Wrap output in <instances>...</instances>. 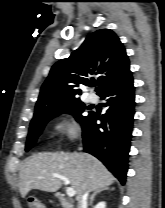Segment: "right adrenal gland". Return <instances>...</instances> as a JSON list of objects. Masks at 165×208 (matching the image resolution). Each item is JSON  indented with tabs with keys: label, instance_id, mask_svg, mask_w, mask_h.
Here are the masks:
<instances>
[{
	"label": "right adrenal gland",
	"instance_id": "1",
	"mask_svg": "<svg viewBox=\"0 0 165 208\" xmlns=\"http://www.w3.org/2000/svg\"><path fill=\"white\" fill-rule=\"evenodd\" d=\"M109 189H110L109 187H103V188H100V189L94 191V193H93V194L91 195V197H90V200H89V206H92L93 201H94V198H95V196H96L97 194L101 193L102 191H107V190H109Z\"/></svg>",
	"mask_w": 165,
	"mask_h": 208
}]
</instances>
